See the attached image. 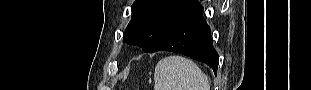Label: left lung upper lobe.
<instances>
[{
  "instance_id": "5c2ea615",
  "label": "left lung upper lobe",
  "mask_w": 311,
  "mask_h": 90,
  "mask_svg": "<svg viewBox=\"0 0 311 90\" xmlns=\"http://www.w3.org/2000/svg\"><path fill=\"white\" fill-rule=\"evenodd\" d=\"M198 6L197 0H135L123 40L148 53L180 19Z\"/></svg>"
}]
</instances>
